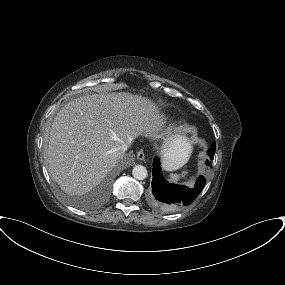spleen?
I'll list each match as a JSON object with an SVG mask.
<instances>
[{
	"label": "spleen",
	"mask_w": 285,
	"mask_h": 285,
	"mask_svg": "<svg viewBox=\"0 0 285 285\" xmlns=\"http://www.w3.org/2000/svg\"><path fill=\"white\" fill-rule=\"evenodd\" d=\"M188 172L187 171H183L182 174H170L169 175V180L171 182L177 183L180 179V177H184Z\"/></svg>",
	"instance_id": "1"
}]
</instances>
